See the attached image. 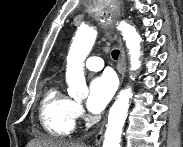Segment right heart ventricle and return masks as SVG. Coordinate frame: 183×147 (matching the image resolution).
Here are the masks:
<instances>
[{
  "mask_svg": "<svg viewBox=\"0 0 183 147\" xmlns=\"http://www.w3.org/2000/svg\"><path fill=\"white\" fill-rule=\"evenodd\" d=\"M76 103L59 86L45 93L40 106V120L44 130L55 137L72 134L75 127Z\"/></svg>",
  "mask_w": 183,
  "mask_h": 147,
  "instance_id": "right-heart-ventricle-1",
  "label": "right heart ventricle"
}]
</instances>
